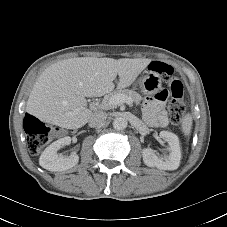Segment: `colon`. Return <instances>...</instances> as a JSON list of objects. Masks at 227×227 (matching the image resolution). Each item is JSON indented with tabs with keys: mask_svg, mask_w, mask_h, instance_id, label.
I'll use <instances>...</instances> for the list:
<instances>
[{
	"mask_svg": "<svg viewBox=\"0 0 227 227\" xmlns=\"http://www.w3.org/2000/svg\"><path fill=\"white\" fill-rule=\"evenodd\" d=\"M151 71L161 74L169 83L171 100L168 105L169 116L174 124H180L185 114V104L183 102V84L174 74L173 68L163 62H152L149 66ZM24 130L27 134V144L31 153H38L47 145L50 140L52 128L32 115L24 118Z\"/></svg>",
	"mask_w": 227,
	"mask_h": 227,
	"instance_id": "5ec220e1",
	"label": "colon"
}]
</instances>
